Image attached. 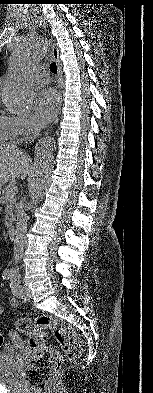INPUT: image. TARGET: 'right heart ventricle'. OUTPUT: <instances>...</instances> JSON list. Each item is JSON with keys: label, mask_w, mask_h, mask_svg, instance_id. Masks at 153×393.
I'll list each match as a JSON object with an SVG mask.
<instances>
[{"label": "right heart ventricle", "mask_w": 153, "mask_h": 393, "mask_svg": "<svg viewBox=\"0 0 153 393\" xmlns=\"http://www.w3.org/2000/svg\"><path fill=\"white\" fill-rule=\"evenodd\" d=\"M15 117L0 112V142L16 138Z\"/></svg>", "instance_id": "right-heart-ventricle-1"}]
</instances>
